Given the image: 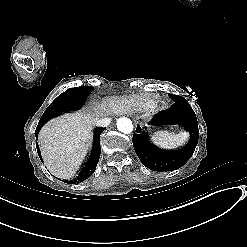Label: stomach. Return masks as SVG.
<instances>
[{"mask_svg":"<svg viewBox=\"0 0 247 247\" xmlns=\"http://www.w3.org/2000/svg\"><path fill=\"white\" fill-rule=\"evenodd\" d=\"M171 110L162 111L155 114L149 121L147 126L160 130V131H168L173 132L177 130V125L170 124L168 122V117ZM159 132V131H158Z\"/></svg>","mask_w":247,"mask_h":247,"instance_id":"stomach-1","label":"stomach"}]
</instances>
